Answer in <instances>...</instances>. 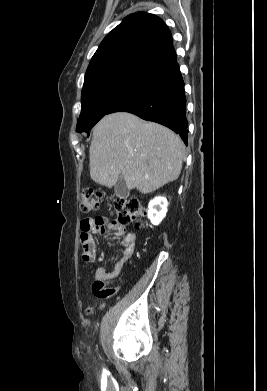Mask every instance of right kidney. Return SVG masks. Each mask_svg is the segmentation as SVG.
<instances>
[{"mask_svg":"<svg viewBox=\"0 0 267 391\" xmlns=\"http://www.w3.org/2000/svg\"><path fill=\"white\" fill-rule=\"evenodd\" d=\"M168 201L165 197H155L148 205V218L151 223L158 225L167 213Z\"/></svg>","mask_w":267,"mask_h":391,"instance_id":"right-kidney-1","label":"right kidney"}]
</instances>
